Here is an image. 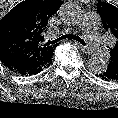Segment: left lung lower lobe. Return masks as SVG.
<instances>
[{
    "instance_id": "0a47b994",
    "label": "left lung lower lobe",
    "mask_w": 118,
    "mask_h": 118,
    "mask_svg": "<svg viewBox=\"0 0 118 118\" xmlns=\"http://www.w3.org/2000/svg\"><path fill=\"white\" fill-rule=\"evenodd\" d=\"M103 80H109V79H107L103 74H100L99 75Z\"/></svg>"
}]
</instances>
